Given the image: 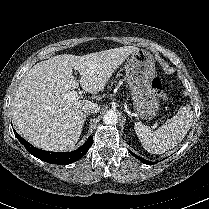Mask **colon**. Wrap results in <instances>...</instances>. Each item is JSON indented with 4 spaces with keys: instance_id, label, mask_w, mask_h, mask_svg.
Instances as JSON below:
<instances>
[{
    "instance_id": "5ec220e1",
    "label": "colon",
    "mask_w": 209,
    "mask_h": 209,
    "mask_svg": "<svg viewBox=\"0 0 209 209\" xmlns=\"http://www.w3.org/2000/svg\"><path fill=\"white\" fill-rule=\"evenodd\" d=\"M152 89L158 97L165 98L164 91L162 89V82L159 78H154L152 80Z\"/></svg>"
}]
</instances>
